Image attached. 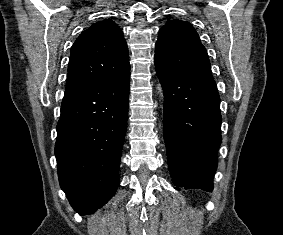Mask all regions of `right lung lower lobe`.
Segmentation results:
<instances>
[{"label":"right lung lower lobe","instance_id":"obj_1","mask_svg":"<svg viewBox=\"0 0 283 235\" xmlns=\"http://www.w3.org/2000/svg\"><path fill=\"white\" fill-rule=\"evenodd\" d=\"M130 71L65 93L55 156L61 188L81 215L108 202L119 185L127 127Z\"/></svg>","mask_w":283,"mask_h":235}]
</instances>
